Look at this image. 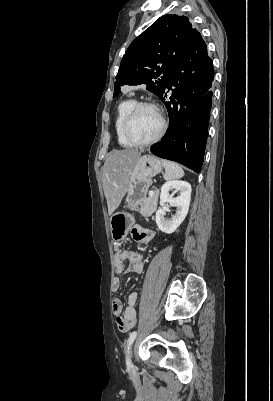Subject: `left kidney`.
<instances>
[{
    "label": "left kidney",
    "instance_id": "5707ae66",
    "mask_svg": "<svg viewBox=\"0 0 273 401\" xmlns=\"http://www.w3.org/2000/svg\"><path fill=\"white\" fill-rule=\"evenodd\" d=\"M170 190H178L180 192L179 196L173 198V194H169ZM190 198L191 184L186 182V180H167L165 184H162L160 194L161 207H164L165 203H169L172 207H176L177 211L175 215H172L171 219H165L164 215H166V211L158 209L156 223L160 231L171 235V233H174L178 229L188 213Z\"/></svg>",
    "mask_w": 273,
    "mask_h": 401
}]
</instances>
